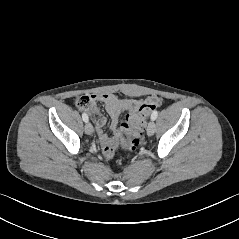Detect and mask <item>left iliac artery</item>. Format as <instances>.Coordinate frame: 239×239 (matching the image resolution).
<instances>
[{"mask_svg": "<svg viewBox=\"0 0 239 239\" xmlns=\"http://www.w3.org/2000/svg\"><path fill=\"white\" fill-rule=\"evenodd\" d=\"M158 116V111H154L152 114H151V120H155Z\"/></svg>", "mask_w": 239, "mask_h": 239, "instance_id": "1", "label": "left iliac artery"}]
</instances>
